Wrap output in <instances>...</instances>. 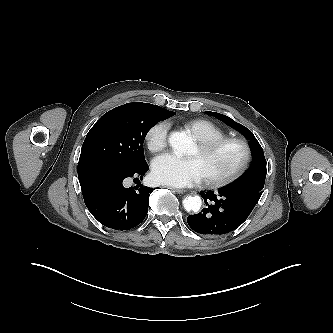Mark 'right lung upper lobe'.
I'll return each mask as SVG.
<instances>
[{"mask_svg":"<svg viewBox=\"0 0 333 333\" xmlns=\"http://www.w3.org/2000/svg\"><path fill=\"white\" fill-rule=\"evenodd\" d=\"M138 103H140V102H138ZM144 104H148V103H144ZM149 105H152V104H149ZM156 106V105H155ZM167 112H170V113H174V112H171V111H168V110H166Z\"/></svg>","mask_w":333,"mask_h":333,"instance_id":"obj_1","label":"right lung upper lobe"}]
</instances>
